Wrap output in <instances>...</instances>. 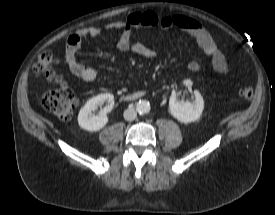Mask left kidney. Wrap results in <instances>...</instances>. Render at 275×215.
I'll list each match as a JSON object with an SVG mask.
<instances>
[{"mask_svg":"<svg viewBox=\"0 0 275 215\" xmlns=\"http://www.w3.org/2000/svg\"><path fill=\"white\" fill-rule=\"evenodd\" d=\"M190 87L192 81L187 79L183 82ZM195 100L193 102L179 101L176 93L172 92L169 99V110L171 115L182 123H190L198 120L204 109V100L199 91H194Z\"/></svg>","mask_w":275,"mask_h":215,"instance_id":"left-kidney-1","label":"left kidney"}]
</instances>
